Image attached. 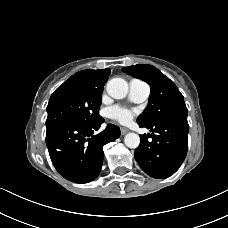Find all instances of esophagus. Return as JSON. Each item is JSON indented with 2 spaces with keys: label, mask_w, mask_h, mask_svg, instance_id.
Returning <instances> with one entry per match:
<instances>
[{
  "label": "esophagus",
  "mask_w": 228,
  "mask_h": 228,
  "mask_svg": "<svg viewBox=\"0 0 228 228\" xmlns=\"http://www.w3.org/2000/svg\"><path fill=\"white\" fill-rule=\"evenodd\" d=\"M128 132L129 130L127 128H124V127L121 128V135H125Z\"/></svg>",
  "instance_id": "34e87169"
}]
</instances>
